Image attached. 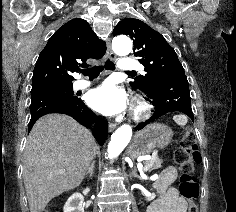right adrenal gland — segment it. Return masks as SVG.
Masks as SVG:
<instances>
[{
    "label": "right adrenal gland",
    "instance_id": "2a0ac1e0",
    "mask_svg": "<svg viewBox=\"0 0 236 212\" xmlns=\"http://www.w3.org/2000/svg\"><path fill=\"white\" fill-rule=\"evenodd\" d=\"M94 168H95V161H93L90 165V167L88 168V171L85 173L84 177H87L89 175L90 178L93 177L94 174Z\"/></svg>",
    "mask_w": 236,
    "mask_h": 212
}]
</instances>
